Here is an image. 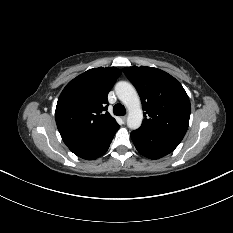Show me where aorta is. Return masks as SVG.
Returning a JSON list of instances; mask_svg holds the SVG:
<instances>
[{"mask_svg": "<svg viewBox=\"0 0 233 233\" xmlns=\"http://www.w3.org/2000/svg\"><path fill=\"white\" fill-rule=\"evenodd\" d=\"M115 92L128 109L127 126L132 130L138 129L142 124L143 111L136 89L131 83L120 81L115 86Z\"/></svg>", "mask_w": 233, "mask_h": 233, "instance_id": "obj_1", "label": "aorta"}]
</instances>
